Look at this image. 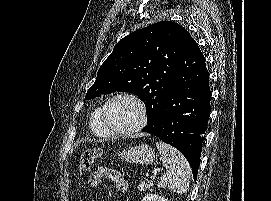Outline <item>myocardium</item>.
I'll return each mask as SVG.
<instances>
[{"label": "myocardium", "mask_w": 271, "mask_h": 201, "mask_svg": "<svg viewBox=\"0 0 271 201\" xmlns=\"http://www.w3.org/2000/svg\"><path fill=\"white\" fill-rule=\"evenodd\" d=\"M120 98H125V99H129L132 102L135 103V105L137 106L138 110H139V115H140V119L139 122L132 128L128 129V130H118L115 129L111 123L109 122L108 116H107V108L110 105L111 102H113L116 99H120ZM101 119L102 122L105 126V128L113 135H117V136H132L135 135L137 133H139L140 131H142L148 122V112H147V108L145 106V103L143 102V100L137 96L134 93L131 92H118L113 94L112 96H110L102 105L101 107Z\"/></svg>", "instance_id": "myocardium-1"}]
</instances>
